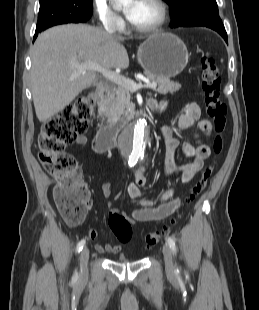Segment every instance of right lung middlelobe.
<instances>
[{
	"mask_svg": "<svg viewBox=\"0 0 259 310\" xmlns=\"http://www.w3.org/2000/svg\"><path fill=\"white\" fill-rule=\"evenodd\" d=\"M92 13V0H40L36 30L56 21L85 22Z\"/></svg>",
	"mask_w": 259,
	"mask_h": 310,
	"instance_id": "obj_1",
	"label": "right lung middle lobe"
}]
</instances>
